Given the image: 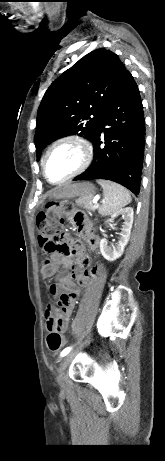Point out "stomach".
<instances>
[{
	"label": "stomach",
	"instance_id": "stomach-1",
	"mask_svg": "<svg viewBox=\"0 0 165 461\" xmlns=\"http://www.w3.org/2000/svg\"><path fill=\"white\" fill-rule=\"evenodd\" d=\"M96 193L95 186L90 182L66 184L57 188L52 196L56 199H69L74 197H93Z\"/></svg>",
	"mask_w": 165,
	"mask_h": 461
}]
</instances>
